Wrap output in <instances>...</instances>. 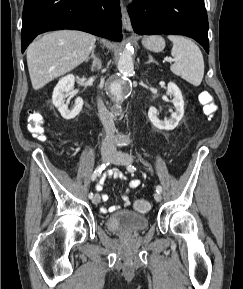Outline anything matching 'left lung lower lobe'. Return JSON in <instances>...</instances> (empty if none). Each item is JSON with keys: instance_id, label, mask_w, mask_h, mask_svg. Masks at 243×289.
Here are the masks:
<instances>
[{"instance_id": "0a47b994", "label": "left lung lower lobe", "mask_w": 243, "mask_h": 289, "mask_svg": "<svg viewBox=\"0 0 243 289\" xmlns=\"http://www.w3.org/2000/svg\"><path fill=\"white\" fill-rule=\"evenodd\" d=\"M128 12L136 33L186 35L209 53L204 0H135Z\"/></svg>"}]
</instances>
